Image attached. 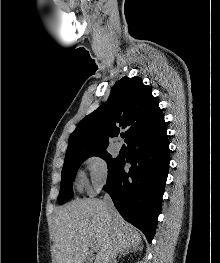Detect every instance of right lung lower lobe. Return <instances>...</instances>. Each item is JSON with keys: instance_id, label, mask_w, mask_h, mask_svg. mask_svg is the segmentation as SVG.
Listing matches in <instances>:
<instances>
[{"instance_id": "obj_1", "label": "right lung lower lobe", "mask_w": 220, "mask_h": 263, "mask_svg": "<svg viewBox=\"0 0 220 263\" xmlns=\"http://www.w3.org/2000/svg\"><path fill=\"white\" fill-rule=\"evenodd\" d=\"M127 145V158L118 157L108 170L105 190L122 217L139 228L151 243L169 169L167 132L142 134ZM126 162L131 164L129 172L124 171Z\"/></svg>"}]
</instances>
